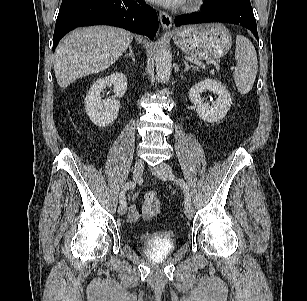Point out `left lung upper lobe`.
Listing matches in <instances>:
<instances>
[{
    "mask_svg": "<svg viewBox=\"0 0 307 301\" xmlns=\"http://www.w3.org/2000/svg\"><path fill=\"white\" fill-rule=\"evenodd\" d=\"M205 1H209L217 5L231 3V2H249L250 3V0H205Z\"/></svg>",
    "mask_w": 307,
    "mask_h": 301,
    "instance_id": "left-lung-upper-lobe-1",
    "label": "left lung upper lobe"
}]
</instances>
